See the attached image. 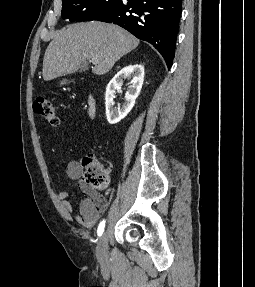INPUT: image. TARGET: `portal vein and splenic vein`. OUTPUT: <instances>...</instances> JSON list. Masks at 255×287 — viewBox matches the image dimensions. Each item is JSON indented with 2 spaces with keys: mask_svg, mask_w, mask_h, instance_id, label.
Here are the masks:
<instances>
[{
  "mask_svg": "<svg viewBox=\"0 0 255 287\" xmlns=\"http://www.w3.org/2000/svg\"><path fill=\"white\" fill-rule=\"evenodd\" d=\"M92 64H98V58H91Z\"/></svg>",
  "mask_w": 255,
  "mask_h": 287,
  "instance_id": "obj_1",
  "label": "portal vein and splenic vein"
}]
</instances>
